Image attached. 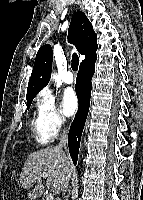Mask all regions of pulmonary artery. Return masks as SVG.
Masks as SVG:
<instances>
[{
	"label": "pulmonary artery",
	"mask_w": 143,
	"mask_h": 200,
	"mask_svg": "<svg viewBox=\"0 0 143 200\" xmlns=\"http://www.w3.org/2000/svg\"><path fill=\"white\" fill-rule=\"evenodd\" d=\"M63 82L65 84H72L74 82L73 74L70 71H67L63 76Z\"/></svg>",
	"instance_id": "1"
}]
</instances>
